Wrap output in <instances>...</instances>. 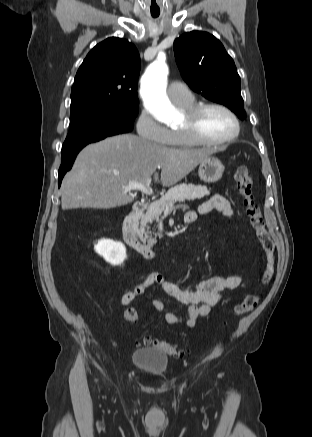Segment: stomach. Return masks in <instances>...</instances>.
<instances>
[{
  "instance_id": "1",
  "label": "stomach",
  "mask_w": 312,
  "mask_h": 437,
  "mask_svg": "<svg viewBox=\"0 0 312 437\" xmlns=\"http://www.w3.org/2000/svg\"><path fill=\"white\" fill-rule=\"evenodd\" d=\"M224 172L221 161L213 156H208L199 163L198 175L206 183L217 182Z\"/></svg>"
}]
</instances>
